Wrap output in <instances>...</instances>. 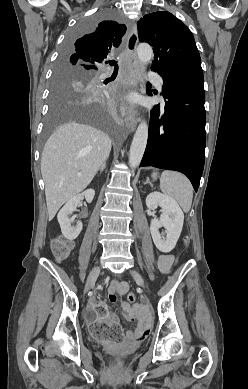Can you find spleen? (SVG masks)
Instances as JSON below:
<instances>
[{"label":"spleen","instance_id":"obj_1","mask_svg":"<svg viewBox=\"0 0 248 389\" xmlns=\"http://www.w3.org/2000/svg\"><path fill=\"white\" fill-rule=\"evenodd\" d=\"M160 188L165 194L173 197L184 212H189L193 199V187L185 175L176 171H163Z\"/></svg>","mask_w":248,"mask_h":389}]
</instances>
